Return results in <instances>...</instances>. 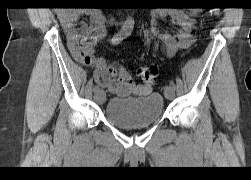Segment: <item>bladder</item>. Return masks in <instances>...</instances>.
Wrapping results in <instances>:
<instances>
[{"instance_id": "31cf9c89", "label": "bladder", "mask_w": 251, "mask_h": 180, "mask_svg": "<svg viewBox=\"0 0 251 180\" xmlns=\"http://www.w3.org/2000/svg\"><path fill=\"white\" fill-rule=\"evenodd\" d=\"M164 100L159 93L142 98H111L106 104V118L114 125L142 128L155 124L163 114Z\"/></svg>"}]
</instances>
